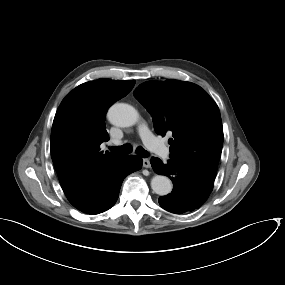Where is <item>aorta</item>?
<instances>
[{
  "instance_id": "aorta-1",
  "label": "aorta",
  "mask_w": 285,
  "mask_h": 285,
  "mask_svg": "<svg viewBox=\"0 0 285 285\" xmlns=\"http://www.w3.org/2000/svg\"><path fill=\"white\" fill-rule=\"evenodd\" d=\"M108 119L115 126L130 127L138 122L139 113L129 104L116 103L109 109ZM172 187V182L166 176L155 175L151 180L152 190L160 196L169 194Z\"/></svg>"
}]
</instances>
